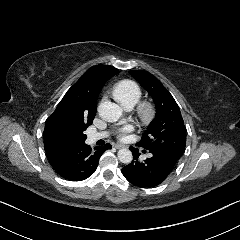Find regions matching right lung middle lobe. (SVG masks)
I'll return each instance as SVG.
<instances>
[{"label":"right lung middle lobe","mask_w":240,"mask_h":240,"mask_svg":"<svg viewBox=\"0 0 240 240\" xmlns=\"http://www.w3.org/2000/svg\"><path fill=\"white\" fill-rule=\"evenodd\" d=\"M87 127V125L81 123L75 124L70 128V133L78 138H81L82 140H85L86 135L83 132Z\"/></svg>","instance_id":"dd1d6c3e"}]
</instances>
